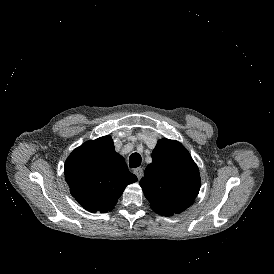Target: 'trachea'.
<instances>
[{
  "instance_id": "trachea-1",
  "label": "trachea",
  "mask_w": 274,
  "mask_h": 274,
  "mask_svg": "<svg viewBox=\"0 0 274 274\" xmlns=\"http://www.w3.org/2000/svg\"><path fill=\"white\" fill-rule=\"evenodd\" d=\"M142 158L138 153H133L129 158V166L131 168L139 167L141 165Z\"/></svg>"
}]
</instances>
